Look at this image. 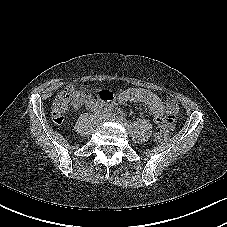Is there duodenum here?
Instances as JSON below:
<instances>
[{"instance_id": "410a0bca", "label": "duodenum", "mask_w": 227, "mask_h": 227, "mask_svg": "<svg viewBox=\"0 0 227 227\" xmlns=\"http://www.w3.org/2000/svg\"><path fill=\"white\" fill-rule=\"evenodd\" d=\"M117 101L116 94L111 90H106L104 92L99 91L93 95L90 99L89 105L95 111H100L108 109L113 106Z\"/></svg>"}]
</instances>
